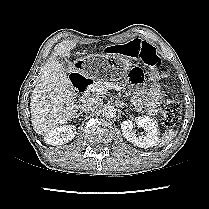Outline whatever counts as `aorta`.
<instances>
[{"mask_svg": "<svg viewBox=\"0 0 209 209\" xmlns=\"http://www.w3.org/2000/svg\"><path fill=\"white\" fill-rule=\"evenodd\" d=\"M116 114H117V109L111 104L105 105L102 109V115L107 119L114 118Z\"/></svg>", "mask_w": 209, "mask_h": 209, "instance_id": "aorta-1", "label": "aorta"}]
</instances>
